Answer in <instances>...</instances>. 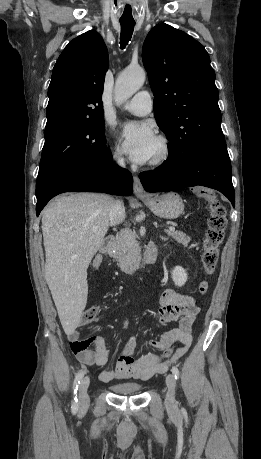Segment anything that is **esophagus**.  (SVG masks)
Here are the masks:
<instances>
[{"label":"esophagus","instance_id":"esophagus-1","mask_svg":"<svg viewBox=\"0 0 261 459\" xmlns=\"http://www.w3.org/2000/svg\"><path fill=\"white\" fill-rule=\"evenodd\" d=\"M133 181H134V184H133L134 194L137 197H147L148 194L144 190V187H143L139 177L138 176H134L133 177Z\"/></svg>","mask_w":261,"mask_h":459}]
</instances>
